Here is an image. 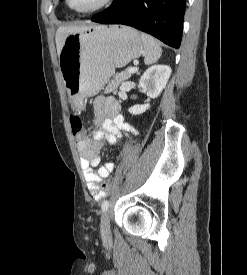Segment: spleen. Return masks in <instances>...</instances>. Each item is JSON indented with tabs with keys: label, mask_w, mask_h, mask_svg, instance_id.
I'll return each mask as SVG.
<instances>
[{
	"label": "spleen",
	"mask_w": 247,
	"mask_h": 275,
	"mask_svg": "<svg viewBox=\"0 0 247 275\" xmlns=\"http://www.w3.org/2000/svg\"><path fill=\"white\" fill-rule=\"evenodd\" d=\"M141 40L144 47V63L146 65L156 63L162 54L159 43L153 37L145 33L141 34Z\"/></svg>",
	"instance_id": "1"
}]
</instances>
